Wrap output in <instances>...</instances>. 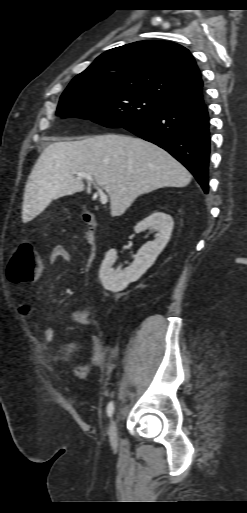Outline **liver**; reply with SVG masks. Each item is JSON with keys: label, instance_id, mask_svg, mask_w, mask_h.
Masks as SVG:
<instances>
[{"label": "liver", "instance_id": "liver-1", "mask_svg": "<svg viewBox=\"0 0 247 513\" xmlns=\"http://www.w3.org/2000/svg\"><path fill=\"white\" fill-rule=\"evenodd\" d=\"M78 172L91 174L110 197L111 215L121 216L135 199L164 187H185L189 171L168 152L142 138L120 134L55 142L31 171L23 199V217L40 214L49 203L84 190Z\"/></svg>", "mask_w": 247, "mask_h": 513}]
</instances>
